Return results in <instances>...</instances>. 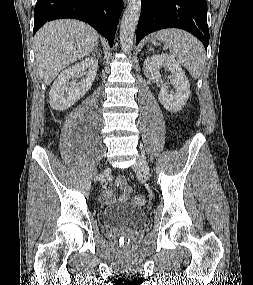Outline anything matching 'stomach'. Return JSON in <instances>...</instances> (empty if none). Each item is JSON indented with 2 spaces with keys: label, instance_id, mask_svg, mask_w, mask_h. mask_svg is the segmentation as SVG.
I'll return each instance as SVG.
<instances>
[{
  "label": "stomach",
  "instance_id": "stomach-1",
  "mask_svg": "<svg viewBox=\"0 0 253 285\" xmlns=\"http://www.w3.org/2000/svg\"><path fill=\"white\" fill-rule=\"evenodd\" d=\"M159 40V39H158ZM152 43H155V40H152Z\"/></svg>",
  "mask_w": 253,
  "mask_h": 285
}]
</instances>
